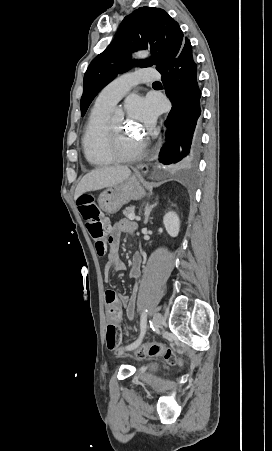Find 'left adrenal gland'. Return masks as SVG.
<instances>
[{
	"instance_id": "obj_1",
	"label": "left adrenal gland",
	"mask_w": 272,
	"mask_h": 451,
	"mask_svg": "<svg viewBox=\"0 0 272 451\" xmlns=\"http://www.w3.org/2000/svg\"><path fill=\"white\" fill-rule=\"evenodd\" d=\"M155 206H157V204H153V206H149V204H146L145 206V220H144V224H147L148 222V218L150 216V212H152L153 208H155Z\"/></svg>"
}]
</instances>
